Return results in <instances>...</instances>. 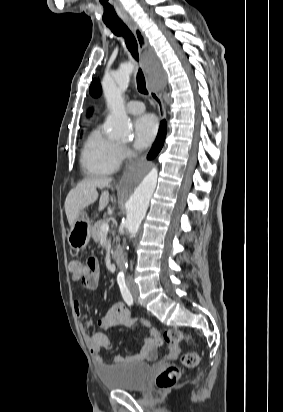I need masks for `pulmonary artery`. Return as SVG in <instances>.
Instances as JSON below:
<instances>
[{
	"label": "pulmonary artery",
	"instance_id": "1",
	"mask_svg": "<svg viewBox=\"0 0 283 412\" xmlns=\"http://www.w3.org/2000/svg\"><path fill=\"white\" fill-rule=\"evenodd\" d=\"M145 105L141 101H130L126 105V111L132 115H138L144 112Z\"/></svg>",
	"mask_w": 283,
	"mask_h": 412
}]
</instances>
